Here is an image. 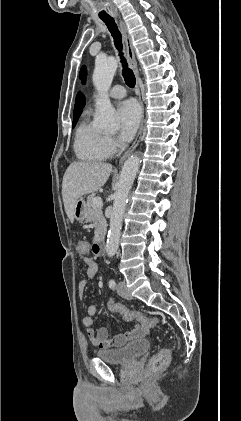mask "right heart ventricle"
Masks as SVG:
<instances>
[{"label":"right heart ventricle","mask_w":241,"mask_h":421,"mask_svg":"<svg viewBox=\"0 0 241 421\" xmlns=\"http://www.w3.org/2000/svg\"><path fill=\"white\" fill-rule=\"evenodd\" d=\"M74 151L79 159L89 162L102 161L111 155L105 143L104 133L94 127L87 118H84L76 129Z\"/></svg>","instance_id":"e07e8e85"}]
</instances>
